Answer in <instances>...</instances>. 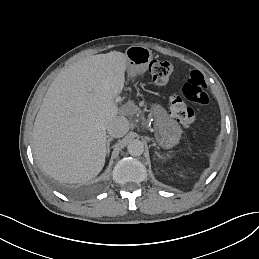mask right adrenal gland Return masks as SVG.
Wrapping results in <instances>:
<instances>
[{"label":"right adrenal gland","mask_w":259,"mask_h":259,"mask_svg":"<svg viewBox=\"0 0 259 259\" xmlns=\"http://www.w3.org/2000/svg\"><path fill=\"white\" fill-rule=\"evenodd\" d=\"M112 140V138H108V140H107V150L109 151L110 150V148H109V145H110V141Z\"/></svg>","instance_id":"right-adrenal-gland-1"}]
</instances>
